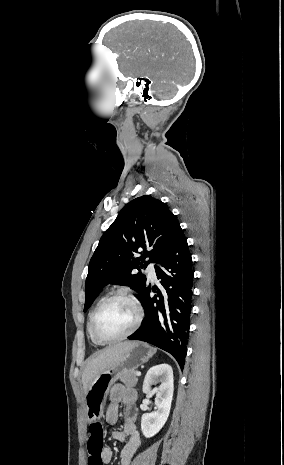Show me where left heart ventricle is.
Segmentation results:
<instances>
[{"instance_id":"obj_1","label":"left heart ventricle","mask_w":284,"mask_h":465,"mask_svg":"<svg viewBox=\"0 0 284 465\" xmlns=\"http://www.w3.org/2000/svg\"><path fill=\"white\" fill-rule=\"evenodd\" d=\"M136 321L133 306L125 301L110 303L99 315L95 331L99 338L110 340L125 335Z\"/></svg>"}]
</instances>
